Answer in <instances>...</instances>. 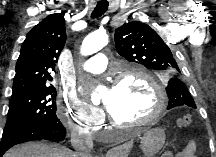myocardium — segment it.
<instances>
[{
	"instance_id": "obj_1",
	"label": "myocardium",
	"mask_w": 216,
	"mask_h": 157,
	"mask_svg": "<svg viewBox=\"0 0 216 157\" xmlns=\"http://www.w3.org/2000/svg\"><path fill=\"white\" fill-rule=\"evenodd\" d=\"M129 77H137L144 80L150 88L153 90L156 97V104L154 110L145 119L134 121V122H124L116 119L110 111H108V118L113 125L125 126V127H138L150 125L157 121L162 115L163 111L167 106V98L162 86L146 71L141 68H131L123 72L122 74L116 76L114 79V86L120 85L125 79Z\"/></svg>"
}]
</instances>
